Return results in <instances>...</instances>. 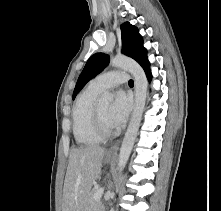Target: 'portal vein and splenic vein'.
<instances>
[{
    "mask_svg": "<svg viewBox=\"0 0 221 211\" xmlns=\"http://www.w3.org/2000/svg\"><path fill=\"white\" fill-rule=\"evenodd\" d=\"M103 192H104V188H99L94 195V200L99 201L103 195Z\"/></svg>",
    "mask_w": 221,
    "mask_h": 211,
    "instance_id": "obj_1",
    "label": "portal vein and splenic vein"
}]
</instances>
